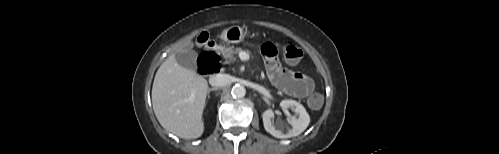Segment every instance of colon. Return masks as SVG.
I'll list each match as a JSON object with an SVG mask.
<instances>
[{"instance_id": "colon-1", "label": "colon", "mask_w": 499, "mask_h": 154, "mask_svg": "<svg viewBox=\"0 0 499 154\" xmlns=\"http://www.w3.org/2000/svg\"><path fill=\"white\" fill-rule=\"evenodd\" d=\"M209 40V36L206 33H202L198 37L200 43H206ZM211 56L212 67L214 72L219 71L221 67V58L214 52L209 53ZM283 55L285 60L290 64L298 63L303 56L302 50L294 44H286L283 48ZM308 104L311 108H320L323 104V96L318 92H312L308 97Z\"/></svg>"}]
</instances>
